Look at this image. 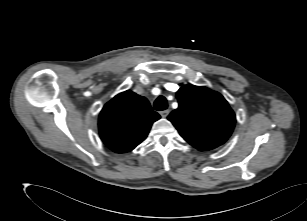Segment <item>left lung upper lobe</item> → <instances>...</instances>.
Returning <instances> with one entry per match:
<instances>
[{
  "label": "left lung upper lobe",
  "mask_w": 307,
  "mask_h": 221,
  "mask_svg": "<svg viewBox=\"0 0 307 221\" xmlns=\"http://www.w3.org/2000/svg\"><path fill=\"white\" fill-rule=\"evenodd\" d=\"M177 99L179 107L168 119L189 144L205 151L227 141L236 118L221 94L207 87L185 85L178 90Z\"/></svg>",
  "instance_id": "obj_1"
}]
</instances>
